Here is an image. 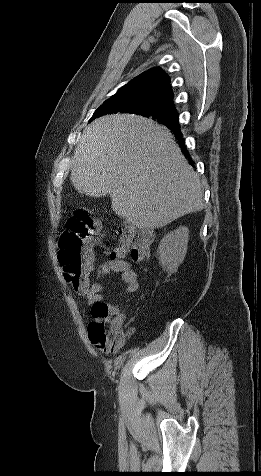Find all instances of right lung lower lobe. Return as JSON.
I'll use <instances>...</instances> for the list:
<instances>
[{"label":"right lung lower lobe","mask_w":261,"mask_h":476,"mask_svg":"<svg viewBox=\"0 0 261 476\" xmlns=\"http://www.w3.org/2000/svg\"><path fill=\"white\" fill-rule=\"evenodd\" d=\"M166 126L174 133L176 138L179 140L182 152L185 154V156H188V152L186 151V146L184 145V140L182 139V135L180 133L178 122H175ZM189 159L191 160V158Z\"/></svg>","instance_id":"right-lung-lower-lobe-1"}]
</instances>
